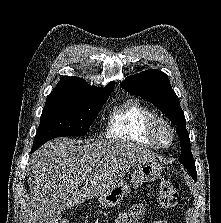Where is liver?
<instances>
[{"instance_id":"liver-1","label":"liver","mask_w":221,"mask_h":223,"mask_svg":"<svg viewBox=\"0 0 221 223\" xmlns=\"http://www.w3.org/2000/svg\"><path fill=\"white\" fill-rule=\"evenodd\" d=\"M143 160H155V153L127 141L75 145L63 137L45 143L29 159L31 204L25 223H58L63 210L105 194Z\"/></svg>"}]
</instances>
